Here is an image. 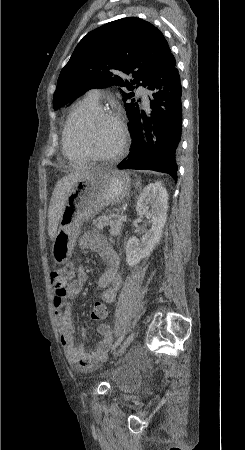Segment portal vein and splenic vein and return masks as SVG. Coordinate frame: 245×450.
<instances>
[{
	"label": "portal vein and splenic vein",
	"mask_w": 245,
	"mask_h": 450,
	"mask_svg": "<svg viewBox=\"0 0 245 450\" xmlns=\"http://www.w3.org/2000/svg\"><path fill=\"white\" fill-rule=\"evenodd\" d=\"M118 220L124 222V221H126V216L121 215V216L118 217Z\"/></svg>",
	"instance_id": "18ae733b"
}]
</instances>
